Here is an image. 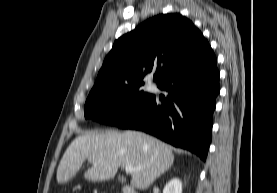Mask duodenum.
Instances as JSON below:
<instances>
[{
	"mask_svg": "<svg viewBox=\"0 0 277 193\" xmlns=\"http://www.w3.org/2000/svg\"><path fill=\"white\" fill-rule=\"evenodd\" d=\"M122 193H137V191L131 186L125 185L121 188Z\"/></svg>",
	"mask_w": 277,
	"mask_h": 193,
	"instance_id": "410a0bca",
	"label": "duodenum"
}]
</instances>
